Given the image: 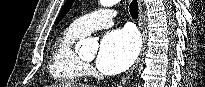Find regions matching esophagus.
<instances>
[{
	"mask_svg": "<svg viewBox=\"0 0 205 87\" xmlns=\"http://www.w3.org/2000/svg\"><path fill=\"white\" fill-rule=\"evenodd\" d=\"M138 2V8H139V24H140V28L142 31V34L144 36V27H143V4H142V0H137ZM139 57L137 59V61L135 62V64L128 70V72L123 76V78L121 79L120 83L118 84V87H122L123 85H125L126 81L130 78V76L132 75L133 71L135 70V68L137 67L139 61H140Z\"/></svg>",
	"mask_w": 205,
	"mask_h": 87,
	"instance_id": "1",
	"label": "esophagus"
}]
</instances>
